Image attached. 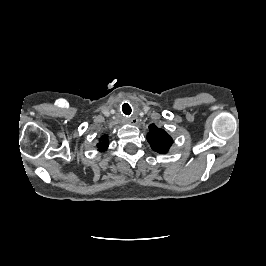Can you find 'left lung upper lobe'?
<instances>
[{"instance_id":"1","label":"left lung upper lobe","mask_w":266,"mask_h":266,"mask_svg":"<svg viewBox=\"0 0 266 266\" xmlns=\"http://www.w3.org/2000/svg\"><path fill=\"white\" fill-rule=\"evenodd\" d=\"M147 140L151 148L158 153H166L173 143L172 138L162 129L154 124L149 126Z\"/></svg>"}]
</instances>
